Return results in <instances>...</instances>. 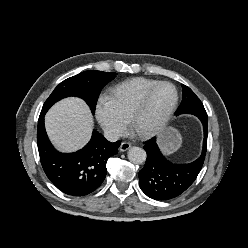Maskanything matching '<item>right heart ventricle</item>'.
Here are the masks:
<instances>
[{
    "label": "right heart ventricle",
    "instance_id": "1",
    "mask_svg": "<svg viewBox=\"0 0 248 248\" xmlns=\"http://www.w3.org/2000/svg\"><path fill=\"white\" fill-rule=\"evenodd\" d=\"M157 82L150 78L135 77L112 86L108 92L119 112L128 120L145 91Z\"/></svg>",
    "mask_w": 248,
    "mask_h": 248
}]
</instances>
